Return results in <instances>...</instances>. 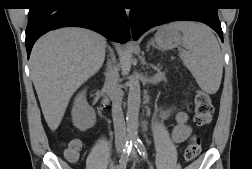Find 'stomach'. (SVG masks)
I'll list each match as a JSON object with an SVG mask.
<instances>
[{"label": "stomach", "mask_w": 252, "mask_h": 169, "mask_svg": "<svg viewBox=\"0 0 252 169\" xmlns=\"http://www.w3.org/2000/svg\"><path fill=\"white\" fill-rule=\"evenodd\" d=\"M155 41L162 49H173L182 43L183 37L180 31L170 24L161 27L157 31L155 34Z\"/></svg>", "instance_id": "1"}]
</instances>
